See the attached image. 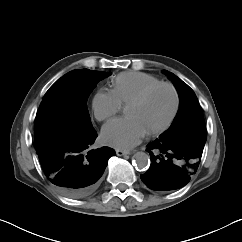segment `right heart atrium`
<instances>
[{
  "mask_svg": "<svg viewBox=\"0 0 242 242\" xmlns=\"http://www.w3.org/2000/svg\"><path fill=\"white\" fill-rule=\"evenodd\" d=\"M122 108V102L112 89H99L92 99V111L95 118L105 121L113 117Z\"/></svg>",
  "mask_w": 242,
  "mask_h": 242,
  "instance_id": "obj_1",
  "label": "right heart atrium"
}]
</instances>
